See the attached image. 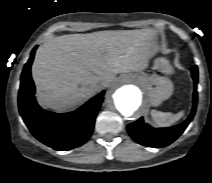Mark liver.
Masks as SVG:
<instances>
[{"label": "liver", "instance_id": "liver-1", "mask_svg": "<svg viewBox=\"0 0 212 183\" xmlns=\"http://www.w3.org/2000/svg\"><path fill=\"white\" fill-rule=\"evenodd\" d=\"M152 29L58 36L41 45L32 65L37 99L46 108L74 107L99 91L94 84L145 70L158 44Z\"/></svg>", "mask_w": 212, "mask_h": 183}]
</instances>
